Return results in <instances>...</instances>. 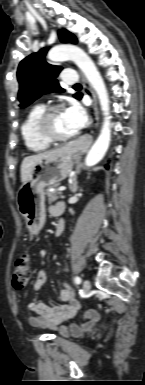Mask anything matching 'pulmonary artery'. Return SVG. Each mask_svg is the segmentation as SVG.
<instances>
[{"label":"pulmonary artery","instance_id":"obj_1","mask_svg":"<svg viewBox=\"0 0 145 385\" xmlns=\"http://www.w3.org/2000/svg\"><path fill=\"white\" fill-rule=\"evenodd\" d=\"M63 81L66 84H73L77 81V76L73 70H64L63 71Z\"/></svg>","mask_w":145,"mask_h":385}]
</instances>
